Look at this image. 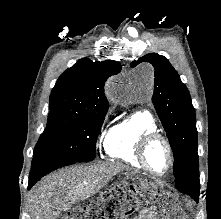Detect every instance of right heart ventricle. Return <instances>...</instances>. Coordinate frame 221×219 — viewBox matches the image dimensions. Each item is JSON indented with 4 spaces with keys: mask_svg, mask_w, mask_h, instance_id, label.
Here are the masks:
<instances>
[{
    "mask_svg": "<svg viewBox=\"0 0 221 219\" xmlns=\"http://www.w3.org/2000/svg\"><path fill=\"white\" fill-rule=\"evenodd\" d=\"M157 132L153 116L147 111H135L115 122L109 129L104 150L108 158L144 169L136 157V145L142 135Z\"/></svg>",
    "mask_w": 221,
    "mask_h": 219,
    "instance_id": "1",
    "label": "right heart ventricle"
}]
</instances>
